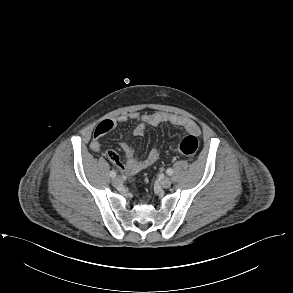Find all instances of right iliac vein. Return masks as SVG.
<instances>
[{
  "instance_id": "63e3f726",
  "label": "right iliac vein",
  "mask_w": 293,
  "mask_h": 293,
  "mask_svg": "<svg viewBox=\"0 0 293 293\" xmlns=\"http://www.w3.org/2000/svg\"><path fill=\"white\" fill-rule=\"evenodd\" d=\"M121 183H122V179H121V177H115V178L112 180V184H113L114 186H119Z\"/></svg>"
}]
</instances>
